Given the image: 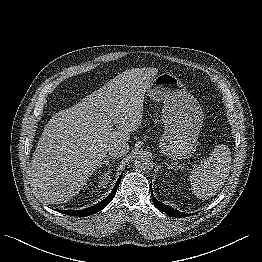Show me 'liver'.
Returning <instances> with one entry per match:
<instances>
[{
    "instance_id": "1",
    "label": "liver",
    "mask_w": 262,
    "mask_h": 262,
    "mask_svg": "<svg viewBox=\"0 0 262 262\" xmlns=\"http://www.w3.org/2000/svg\"><path fill=\"white\" fill-rule=\"evenodd\" d=\"M157 73L153 67L126 70L50 119L29 173L31 185L46 202L71 200L100 166L109 146L129 140L141 125L144 95Z\"/></svg>"
}]
</instances>
